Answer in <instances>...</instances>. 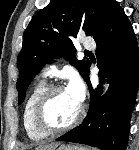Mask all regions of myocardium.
I'll return each mask as SVG.
<instances>
[{
    "instance_id": "myocardium-1",
    "label": "myocardium",
    "mask_w": 139,
    "mask_h": 150,
    "mask_svg": "<svg viewBox=\"0 0 139 150\" xmlns=\"http://www.w3.org/2000/svg\"><path fill=\"white\" fill-rule=\"evenodd\" d=\"M66 89L63 85L60 84H51L47 85L46 88L42 91L40 96L38 97L34 109H33V124L37 131L45 135L62 133L76 127L82 120L85 108L82 104H80V108L75 118L68 123L67 125L55 127L49 125L44 118V111L47 102L50 97L57 91Z\"/></svg>"
}]
</instances>
